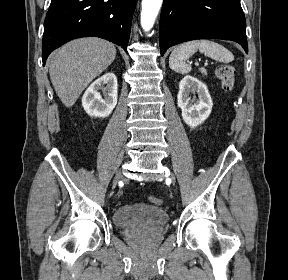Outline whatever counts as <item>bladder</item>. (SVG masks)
Masks as SVG:
<instances>
[{"mask_svg": "<svg viewBox=\"0 0 288 280\" xmlns=\"http://www.w3.org/2000/svg\"><path fill=\"white\" fill-rule=\"evenodd\" d=\"M112 219L114 224L122 229L160 231L168 223L169 216L160 207L131 204L115 209Z\"/></svg>", "mask_w": 288, "mask_h": 280, "instance_id": "bladder-1", "label": "bladder"}]
</instances>
